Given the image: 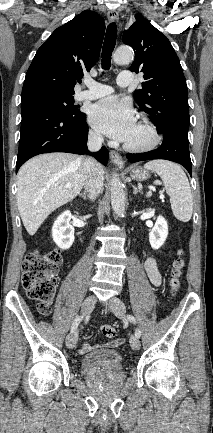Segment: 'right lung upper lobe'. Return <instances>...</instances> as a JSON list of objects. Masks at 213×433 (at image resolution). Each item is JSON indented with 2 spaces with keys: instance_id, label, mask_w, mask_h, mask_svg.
<instances>
[{
  "instance_id": "cb5924a9",
  "label": "right lung upper lobe",
  "mask_w": 213,
  "mask_h": 433,
  "mask_svg": "<svg viewBox=\"0 0 213 433\" xmlns=\"http://www.w3.org/2000/svg\"><path fill=\"white\" fill-rule=\"evenodd\" d=\"M105 24L97 13L83 11L51 34L27 71L22 94L73 95L76 82L97 62Z\"/></svg>"
}]
</instances>
